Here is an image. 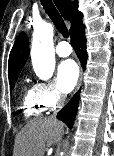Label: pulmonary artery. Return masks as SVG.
<instances>
[{
	"label": "pulmonary artery",
	"mask_w": 114,
	"mask_h": 156,
	"mask_svg": "<svg viewBox=\"0 0 114 156\" xmlns=\"http://www.w3.org/2000/svg\"><path fill=\"white\" fill-rule=\"evenodd\" d=\"M55 51L58 56L67 57L71 54L72 48L67 42L61 41L57 44Z\"/></svg>",
	"instance_id": "e3ab8cb5"
}]
</instances>
